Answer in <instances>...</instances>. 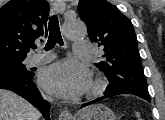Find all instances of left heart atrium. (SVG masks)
<instances>
[{
  "label": "left heart atrium",
  "mask_w": 165,
  "mask_h": 120,
  "mask_svg": "<svg viewBox=\"0 0 165 120\" xmlns=\"http://www.w3.org/2000/svg\"><path fill=\"white\" fill-rule=\"evenodd\" d=\"M39 82L51 94L74 98L88 90L91 79L88 69L83 64L67 60L45 68Z\"/></svg>",
  "instance_id": "1"
}]
</instances>
